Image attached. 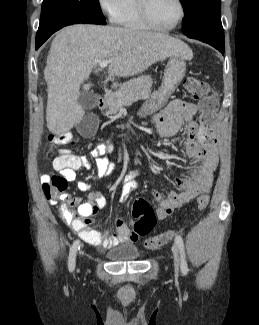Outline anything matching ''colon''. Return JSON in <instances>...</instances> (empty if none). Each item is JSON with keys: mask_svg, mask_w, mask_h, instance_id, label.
<instances>
[{"mask_svg": "<svg viewBox=\"0 0 259 325\" xmlns=\"http://www.w3.org/2000/svg\"><path fill=\"white\" fill-rule=\"evenodd\" d=\"M184 87L194 99L201 101L200 104L203 108V114L200 116V123L205 130L212 133V129L218 128V123L214 122L218 102L209 84L195 77H187L184 80ZM72 140L73 138L70 134H64L55 141L59 144H69ZM66 187L67 180L58 173H54L48 179L42 181L43 192L51 203H56L60 199ZM208 203V193H201L196 200L195 210L198 212L202 211L207 207ZM132 213L136 218L134 232L138 236H147L153 229L157 219L152 206L142 198L137 199L133 203ZM173 236V230L148 236L144 240V246L150 250L158 249L167 244Z\"/></svg>", "mask_w": 259, "mask_h": 325, "instance_id": "colon-1", "label": "colon"}]
</instances>
